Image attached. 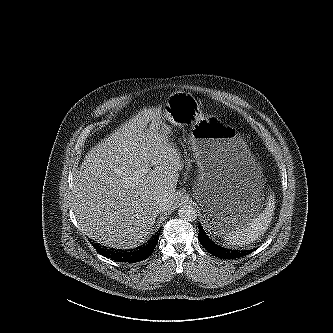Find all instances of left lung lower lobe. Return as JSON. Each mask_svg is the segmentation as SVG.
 <instances>
[{
  "label": "left lung lower lobe",
  "instance_id": "obj_1",
  "mask_svg": "<svg viewBox=\"0 0 333 333\" xmlns=\"http://www.w3.org/2000/svg\"><path fill=\"white\" fill-rule=\"evenodd\" d=\"M198 229H199V241L202 244V246L208 252H210L212 255H214L218 258L237 259V258L243 257V256L251 253V251H247V250L240 251V250H230V249L224 248V247L216 244L209 238V236L206 234V232L204 231L201 224L198 225Z\"/></svg>",
  "mask_w": 333,
  "mask_h": 333
}]
</instances>
